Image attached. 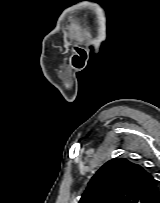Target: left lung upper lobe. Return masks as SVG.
<instances>
[{"label": "left lung upper lobe", "instance_id": "5c2ea615", "mask_svg": "<svg viewBox=\"0 0 160 203\" xmlns=\"http://www.w3.org/2000/svg\"><path fill=\"white\" fill-rule=\"evenodd\" d=\"M158 181L127 159L105 163L88 183L79 203H158Z\"/></svg>", "mask_w": 160, "mask_h": 203}]
</instances>
